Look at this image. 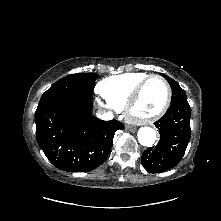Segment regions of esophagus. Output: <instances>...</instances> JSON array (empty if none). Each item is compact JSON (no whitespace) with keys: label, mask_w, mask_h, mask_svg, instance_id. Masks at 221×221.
Here are the masks:
<instances>
[{"label":"esophagus","mask_w":221,"mask_h":221,"mask_svg":"<svg viewBox=\"0 0 221 221\" xmlns=\"http://www.w3.org/2000/svg\"><path fill=\"white\" fill-rule=\"evenodd\" d=\"M126 130L130 131V132H135L136 131V128L135 127H132V126H125Z\"/></svg>","instance_id":"34e87169"}]
</instances>
